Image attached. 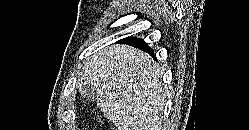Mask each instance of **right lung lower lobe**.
I'll use <instances>...</instances> for the list:
<instances>
[{
  "label": "right lung lower lobe",
  "instance_id": "1",
  "mask_svg": "<svg viewBox=\"0 0 249 130\" xmlns=\"http://www.w3.org/2000/svg\"><path fill=\"white\" fill-rule=\"evenodd\" d=\"M118 43H122V44H128L131 45L135 48H138L140 50L146 51L147 53H149L150 55H152L153 57V50L151 47H149L143 39L140 38H136V37H127L124 39H121L120 41H118Z\"/></svg>",
  "mask_w": 249,
  "mask_h": 130
}]
</instances>
